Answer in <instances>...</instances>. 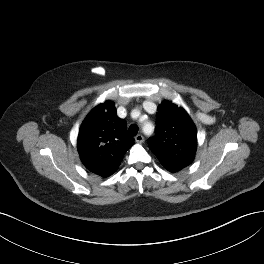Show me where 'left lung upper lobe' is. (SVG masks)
<instances>
[{
  "mask_svg": "<svg viewBox=\"0 0 264 264\" xmlns=\"http://www.w3.org/2000/svg\"><path fill=\"white\" fill-rule=\"evenodd\" d=\"M157 111L156 135L148 140L149 148L168 171L178 172L195 158L196 127L186 111L170 101Z\"/></svg>",
  "mask_w": 264,
  "mask_h": 264,
  "instance_id": "1",
  "label": "left lung upper lobe"
}]
</instances>
